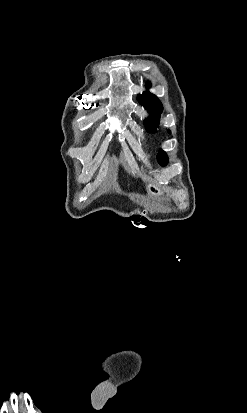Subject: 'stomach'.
<instances>
[{"label":"stomach","mask_w":247,"mask_h":413,"mask_svg":"<svg viewBox=\"0 0 247 413\" xmlns=\"http://www.w3.org/2000/svg\"><path fill=\"white\" fill-rule=\"evenodd\" d=\"M147 190L150 192V194H153V196H162L163 192L157 184H154V182H150V184H147Z\"/></svg>","instance_id":"0dacf381"}]
</instances>
